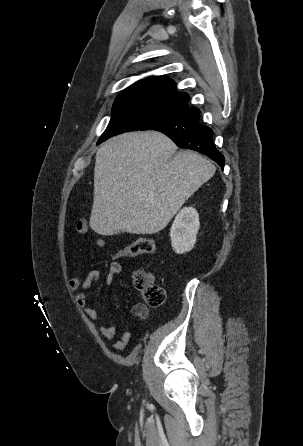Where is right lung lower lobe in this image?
Wrapping results in <instances>:
<instances>
[{
	"label": "right lung lower lobe",
	"instance_id": "obj_1",
	"mask_svg": "<svg viewBox=\"0 0 303 446\" xmlns=\"http://www.w3.org/2000/svg\"><path fill=\"white\" fill-rule=\"evenodd\" d=\"M198 108L185 107L146 124L140 130H156L170 137L178 147L187 148L213 159L224 168V156L212 142L213 130L199 121Z\"/></svg>",
	"mask_w": 303,
	"mask_h": 446
}]
</instances>
